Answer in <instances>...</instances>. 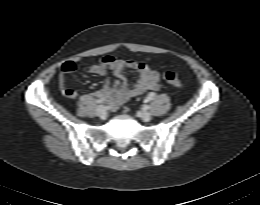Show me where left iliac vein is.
Returning <instances> with one entry per match:
<instances>
[{"instance_id":"left-iliac-vein-1","label":"left iliac vein","mask_w":260,"mask_h":205,"mask_svg":"<svg viewBox=\"0 0 260 205\" xmlns=\"http://www.w3.org/2000/svg\"><path fill=\"white\" fill-rule=\"evenodd\" d=\"M140 118L145 121V122H148L151 120V114L147 111H142L140 113Z\"/></svg>"}]
</instances>
